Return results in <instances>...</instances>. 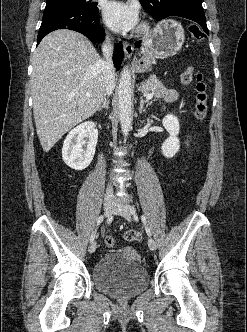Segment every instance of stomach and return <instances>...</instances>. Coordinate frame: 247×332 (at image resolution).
<instances>
[{"instance_id": "1", "label": "stomach", "mask_w": 247, "mask_h": 332, "mask_svg": "<svg viewBox=\"0 0 247 332\" xmlns=\"http://www.w3.org/2000/svg\"><path fill=\"white\" fill-rule=\"evenodd\" d=\"M185 40L184 29L177 21L163 20L142 42L144 57L140 59L135 70L143 73L149 69L153 60L175 55Z\"/></svg>"}]
</instances>
